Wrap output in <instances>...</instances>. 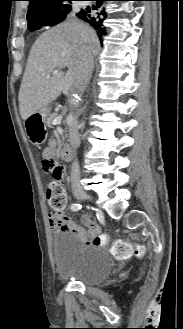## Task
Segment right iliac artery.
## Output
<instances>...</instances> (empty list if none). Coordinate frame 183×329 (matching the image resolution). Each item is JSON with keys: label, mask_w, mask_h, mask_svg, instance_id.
<instances>
[{"label": "right iliac artery", "mask_w": 183, "mask_h": 329, "mask_svg": "<svg viewBox=\"0 0 183 329\" xmlns=\"http://www.w3.org/2000/svg\"><path fill=\"white\" fill-rule=\"evenodd\" d=\"M81 207L82 206L80 204L74 203V204L71 205V210L72 211H78V210L81 209Z\"/></svg>", "instance_id": "obj_1"}]
</instances>
